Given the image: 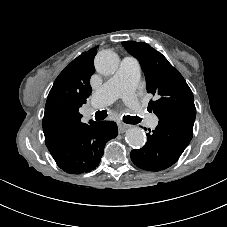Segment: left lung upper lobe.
<instances>
[{"mask_svg": "<svg viewBox=\"0 0 227 227\" xmlns=\"http://www.w3.org/2000/svg\"><path fill=\"white\" fill-rule=\"evenodd\" d=\"M124 48L138 59L146 77L147 92L155 96L149 109L164 122L193 132L196 108L182 75L160 52L143 42L125 41Z\"/></svg>", "mask_w": 227, "mask_h": 227, "instance_id": "1", "label": "left lung upper lobe"}]
</instances>
